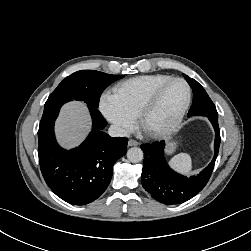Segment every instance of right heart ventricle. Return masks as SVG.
<instances>
[{
    "label": "right heart ventricle",
    "instance_id": "obj_1",
    "mask_svg": "<svg viewBox=\"0 0 251 251\" xmlns=\"http://www.w3.org/2000/svg\"><path fill=\"white\" fill-rule=\"evenodd\" d=\"M172 78L165 74L141 75L127 79L114 88L115 95L120 102L135 116L150 96L163 82Z\"/></svg>",
    "mask_w": 251,
    "mask_h": 251
}]
</instances>
